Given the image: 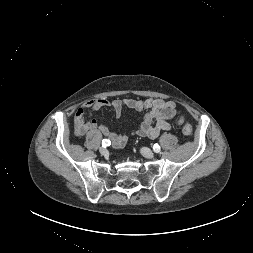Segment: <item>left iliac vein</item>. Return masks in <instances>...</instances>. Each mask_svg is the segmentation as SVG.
Returning <instances> with one entry per match:
<instances>
[{"instance_id":"1","label":"left iliac vein","mask_w":253,"mask_h":253,"mask_svg":"<svg viewBox=\"0 0 253 253\" xmlns=\"http://www.w3.org/2000/svg\"><path fill=\"white\" fill-rule=\"evenodd\" d=\"M141 154L146 157V158H153L154 157V153L148 149V148H141Z\"/></svg>"}]
</instances>
